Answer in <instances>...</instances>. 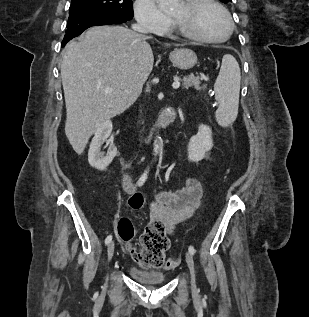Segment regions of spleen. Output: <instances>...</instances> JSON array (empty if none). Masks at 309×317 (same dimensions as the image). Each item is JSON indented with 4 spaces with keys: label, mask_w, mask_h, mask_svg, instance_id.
I'll return each instance as SVG.
<instances>
[{
    "label": "spleen",
    "mask_w": 309,
    "mask_h": 317,
    "mask_svg": "<svg viewBox=\"0 0 309 317\" xmlns=\"http://www.w3.org/2000/svg\"><path fill=\"white\" fill-rule=\"evenodd\" d=\"M241 73L236 59L226 54L214 84L215 98L219 103L216 120L221 126L232 124L238 114Z\"/></svg>",
    "instance_id": "3e777b00"
}]
</instances>
